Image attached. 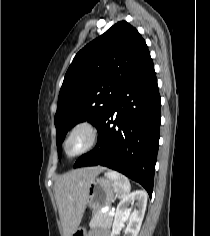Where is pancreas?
Listing matches in <instances>:
<instances>
[{
	"label": "pancreas",
	"instance_id": "pancreas-1",
	"mask_svg": "<svg viewBox=\"0 0 210 236\" xmlns=\"http://www.w3.org/2000/svg\"><path fill=\"white\" fill-rule=\"evenodd\" d=\"M113 221V216L109 212H96L91 221L90 227H110Z\"/></svg>",
	"mask_w": 210,
	"mask_h": 236
}]
</instances>
